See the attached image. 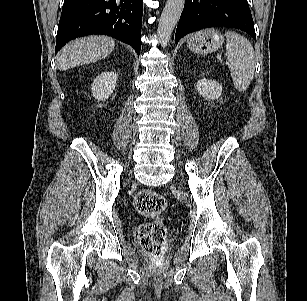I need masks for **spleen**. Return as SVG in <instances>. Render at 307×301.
Masks as SVG:
<instances>
[{
    "label": "spleen",
    "instance_id": "3e777b00",
    "mask_svg": "<svg viewBox=\"0 0 307 301\" xmlns=\"http://www.w3.org/2000/svg\"><path fill=\"white\" fill-rule=\"evenodd\" d=\"M225 36L226 63L230 69L235 88L242 92L249 87L254 76V49L247 38L234 31H227Z\"/></svg>",
    "mask_w": 307,
    "mask_h": 301
}]
</instances>
